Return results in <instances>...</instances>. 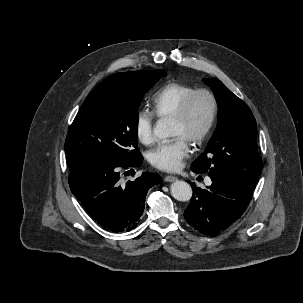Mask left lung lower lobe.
Masks as SVG:
<instances>
[{"instance_id":"left-lung-lower-lobe-1","label":"left lung lower lobe","mask_w":303,"mask_h":303,"mask_svg":"<svg viewBox=\"0 0 303 303\" xmlns=\"http://www.w3.org/2000/svg\"><path fill=\"white\" fill-rule=\"evenodd\" d=\"M208 175L212 185L207 189L190 183L194 192L184 217L196 230L210 235L220 232L241 217L254 189L222 174Z\"/></svg>"}]
</instances>
